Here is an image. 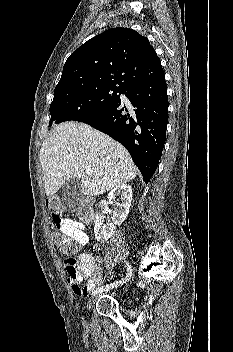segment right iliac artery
<instances>
[{"instance_id": "1", "label": "right iliac artery", "mask_w": 233, "mask_h": 352, "mask_svg": "<svg viewBox=\"0 0 233 352\" xmlns=\"http://www.w3.org/2000/svg\"><path fill=\"white\" fill-rule=\"evenodd\" d=\"M126 268H127V275L124 279L107 284L105 286H100V287L96 288L92 294L95 295L99 292L110 290V289L118 287L119 285L124 284L126 281H128L133 274V268L129 262H126Z\"/></svg>"}]
</instances>
